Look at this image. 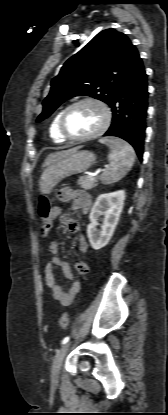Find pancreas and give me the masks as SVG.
I'll return each instance as SVG.
<instances>
[{"instance_id":"1","label":"pancreas","mask_w":168,"mask_h":415,"mask_svg":"<svg viewBox=\"0 0 168 415\" xmlns=\"http://www.w3.org/2000/svg\"><path fill=\"white\" fill-rule=\"evenodd\" d=\"M78 184L85 190H91L97 185V179L89 176L81 177L78 179Z\"/></svg>"}]
</instances>
